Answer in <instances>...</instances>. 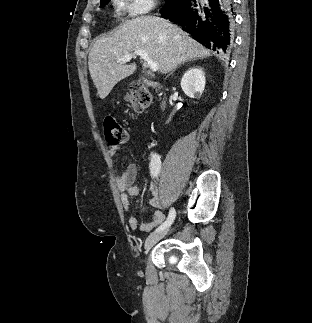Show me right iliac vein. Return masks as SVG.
Instances as JSON below:
<instances>
[{
	"instance_id": "1",
	"label": "right iliac vein",
	"mask_w": 312,
	"mask_h": 323,
	"mask_svg": "<svg viewBox=\"0 0 312 323\" xmlns=\"http://www.w3.org/2000/svg\"><path fill=\"white\" fill-rule=\"evenodd\" d=\"M168 230H161L156 231L154 233H151L145 241V250L151 249L160 239H162L166 234Z\"/></svg>"
}]
</instances>
